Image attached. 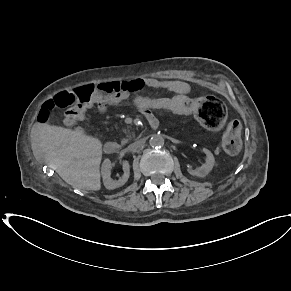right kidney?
<instances>
[{
  "label": "right kidney",
  "instance_id": "ca27d5eb",
  "mask_svg": "<svg viewBox=\"0 0 291 291\" xmlns=\"http://www.w3.org/2000/svg\"><path fill=\"white\" fill-rule=\"evenodd\" d=\"M122 167L124 174L119 180H113L111 178V169H112V163L109 159H105L102 163L101 167V174L103 178V183L106 189L113 190L118 187L123 186L129 178L130 175V167L128 161L122 162Z\"/></svg>",
  "mask_w": 291,
  "mask_h": 291
}]
</instances>
